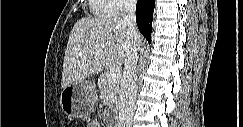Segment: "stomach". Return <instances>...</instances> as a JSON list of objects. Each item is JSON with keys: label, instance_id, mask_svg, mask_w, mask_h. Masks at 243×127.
Masks as SVG:
<instances>
[{"label": "stomach", "instance_id": "stomach-1", "mask_svg": "<svg viewBox=\"0 0 243 127\" xmlns=\"http://www.w3.org/2000/svg\"><path fill=\"white\" fill-rule=\"evenodd\" d=\"M96 100V88L88 81L74 82L65 86L60 96L63 112L72 118H84L90 115Z\"/></svg>", "mask_w": 243, "mask_h": 127}]
</instances>
